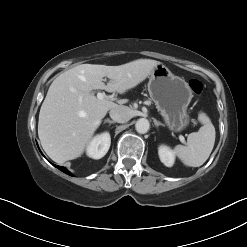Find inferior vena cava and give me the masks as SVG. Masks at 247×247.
I'll return each mask as SVG.
<instances>
[{
    "mask_svg": "<svg viewBox=\"0 0 247 247\" xmlns=\"http://www.w3.org/2000/svg\"><path fill=\"white\" fill-rule=\"evenodd\" d=\"M109 115L115 122L125 123L132 118V111L129 107L120 105L112 108Z\"/></svg>",
    "mask_w": 247,
    "mask_h": 247,
    "instance_id": "1",
    "label": "inferior vena cava"
}]
</instances>
